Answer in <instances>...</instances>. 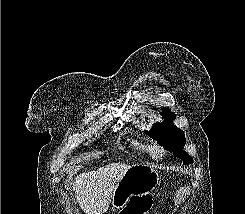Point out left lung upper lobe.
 Listing matches in <instances>:
<instances>
[{
	"instance_id": "left-lung-upper-lobe-1",
	"label": "left lung upper lobe",
	"mask_w": 245,
	"mask_h": 214,
	"mask_svg": "<svg viewBox=\"0 0 245 214\" xmlns=\"http://www.w3.org/2000/svg\"><path fill=\"white\" fill-rule=\"evenodd\" d=\"M161 114L165 120L154 125L150 131H145L146 134L157 140L164 149L169 150L177 158L184 160V164L193 163V158L183 150L186 142L184 132L172 123L176 118L175 113H172L169 108H165Z\"/></svg>"
}]
</instances>
